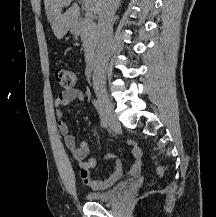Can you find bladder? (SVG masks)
Wrapping results in <instances>:
<instances>
[{"mask_svg": "<svg viewBox=\"0 0 216 217\" xmlns=\"http://www.w3.org/2000/svg\"><path fill=\"white\" fill-rule=\"evenodd\" d=\"M124 184H118L113 189L106 192L88 191L85 197L89 202L107 203L114 200L124 190Z\"/></svg>", "mask_w": 216, "mask_h": 217, "instance_id": "obj_1", "label": "bladder"}]
</instances>
